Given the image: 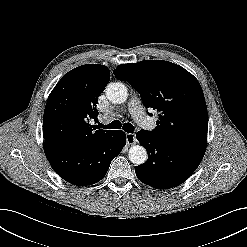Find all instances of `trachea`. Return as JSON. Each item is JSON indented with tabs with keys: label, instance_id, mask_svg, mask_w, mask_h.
Listing matches in <instances>:
<instances>
[{
	"label": "trachea",
	"instance_id": "1",
	"mask_svg": "<svg viewBox=\"0 0 247 247\" xmlns=\"http://www.w3.org/2000/svg\"><path fill=\"white\" fill-rule=\"evenodd\" d=\"M98 128H104V129H122L125 132L132 133L134 131V126L131 123H124L123 125L119 120H114L108 125H103L102 123H99L97 125Z\"/></svg>",
	"mask_w": 247,
	"mask_h": 247
}]
</instances>
